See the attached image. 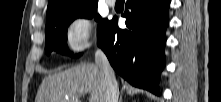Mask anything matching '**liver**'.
I'll list each match as a JSON object with an SVG mask.
<instances>
[{
    "label": "liver",
    "instance_id": "liver-1",
    "mask_svg": "<svg viewBox=\"0 0 221 102\" xmlns=\"http://www.w3.org/2000/svg\"><path fill=\"white\" fill-rule=\"evenodd\" d=\"M87 93L89 102L105 100L103 72L95 64H81L47 76L39 87L35 102H81L80 97Z\"/></svg>",
    "mask_w": 221,
    "mask_h": 102
}]
</instances>
